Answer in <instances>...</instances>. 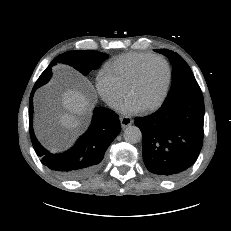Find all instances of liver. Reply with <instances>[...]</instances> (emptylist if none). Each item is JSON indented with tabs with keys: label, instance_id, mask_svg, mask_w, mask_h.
<instances>
[{
	"label": "liver",
	"instance_id": "6515ba94",
	"mask_svg": "<svg viewBox=\"0 0 231 231\" xmlns=\"http://www.w3.org/2000/svg\"><path fill=\"white\" fill-rule=\"evenodd\" d=\"M60 104L63 111L47 110L37 118L36 133L43 142H48L49 126L52 123L68 130L77 129L82 124V117L88 114L92 107L87 93L77 88H69L62 92Z\"/></svg>",
	"mask_w": 231,
	"mask_h": 231
}]
</instances>
